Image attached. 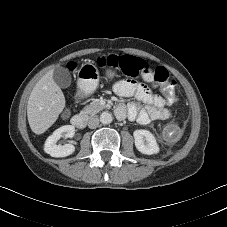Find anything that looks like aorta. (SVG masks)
Masks as SVG:
<instances>
[{
    "label": "aorta",
    "mask_w": 227,
    "mask_h": 227,
    "mask_svg": "<svg viewBox=\"0 0 227 227\" xmlns=\"http://www.w3.org/2000/svg\"><path fill=\"white\" fill-rule=\"evenodd\" d=\"M113 120L112 114L110 112H102L100 115V122L102 124H110Z\"/></svg>",
    "instance_id": "aorta-1"
}]
</instances>
